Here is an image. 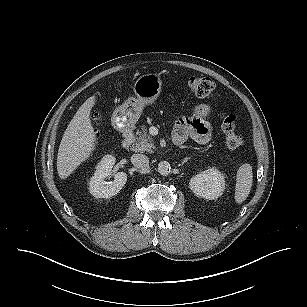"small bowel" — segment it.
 <instances>
[{
    "mask_svg": "<svg viewBox=\"0 0 307 307\" xmlns=\"http://www.w3.org/2000/svg\"><path fill=\"white\" fill-rule=\"evenodd\" d=\"M211 108L206 104H198L192 110L190 117L178 120L173 130V140L182 144L191 138L199 144H207L212 137L211 125L208 122Z\"/></svg>",
    "mask_w": 307,
    "mask_h": 307,
    "instance_id": "c3829d8e",
    "label": "small bowel"
}]
</instances>
